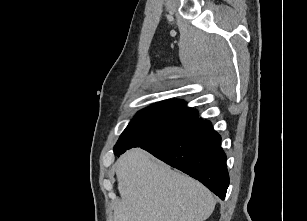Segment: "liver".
I'll use <instances>...</instances> for the list:
<instances>
[{
  "mask_svg": "<svg viewBox=\"0 0 307 221\" xmlns=\"http://www.w3.org/2000/svg\"><path fill=\"white\" fill-rule=\"evenodd\" d=\"M115 171L121 201L114 221H204L214 211L216 201L205 186L140 148L123 154Z\"/></svg>",
  "mask_w": 307,
  "mask_h": 221,
  "instance_id": "obj_1",
  "label": "liver"
}]
</instances>
